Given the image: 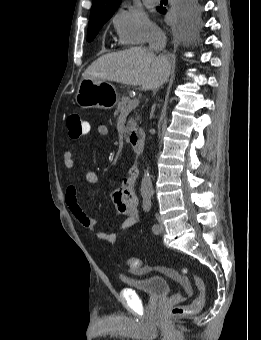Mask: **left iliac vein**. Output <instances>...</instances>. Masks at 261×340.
<instances>
[{
    "label": "left iliac vein",
    "instance_id": "4c4485c4",
    "mask_svg": "<svg viewBox=\"0 0 261 340\" xmlns=\"http://www.w3.org/2000/svg\"><path fill=\"white\" fill-rule=\"evenodd\" d=\"M157 220H158V230L155 231L156 234H160L164 231V225L160 219V216H157Z\"/></svg>",
    "mask_w": 261,
    "mask_h": 340
}]
</instances>
